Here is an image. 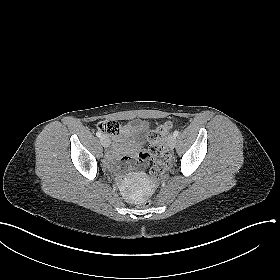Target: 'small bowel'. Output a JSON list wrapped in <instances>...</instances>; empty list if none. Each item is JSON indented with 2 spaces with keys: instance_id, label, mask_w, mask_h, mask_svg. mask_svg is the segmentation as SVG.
<instances>
[{
  "instance_id": "1",
  "label": "small bowel",
  "mask_w": 280,
  "mask_h": 280,
  "mask_svg": "<svg viewBox=\"0 0 280 280\" xmlns=\"http://www.w3.org/2000/svg\"><path fill=\"white\" fill-rule=\"evenodd\" d=\"M135 126L146 127L145 121H135ZM132 127L127 128L126 131L130 130ZM116 159L121 160L127 165L141 166L145 167L149 159V154L146 150L140 149L139 144H133L131 147L126 146L121 138L115 140V145L112 150L107 153L106 162L111 165Z\"/></svg>"
}]
</instances>
